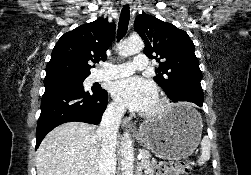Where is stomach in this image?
<instances>
[{"label": "stomach", "mask_w": 251, "mask_h": 175, "mask_svg": "<svg viewBox=\"0 0 251 175\" xmlns=\"http://www.w3.org/2000/svg\"><path fill=\"white\" fill-rule=\"evenodd\" d=\"M202 129L197 109L186 103H175L161 119L143 121L135 137L164 159H183L197 149Z\"/></svg>", "instance_id": "obj_1"}]
</instances>
